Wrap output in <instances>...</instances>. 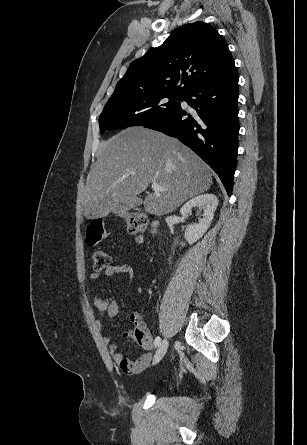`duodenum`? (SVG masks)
I'll return each mask as SVG.
<instances>
[{
    "label": "duodenum",
    "mask_w": 307,
    "mask_h": 445,
    "mask_svg": "<svg viewBox=\"0 0 307 445\" xmlns=\"http://www.w3.org/2000/svg\"><path fill=\"white\" fill-rule=\"evenodd\" d=\"M151 227H152V233H155L158 228V221L154 220L151 224Z\"/></svg>",
    "instance_id": "1"
}]
</instances>
